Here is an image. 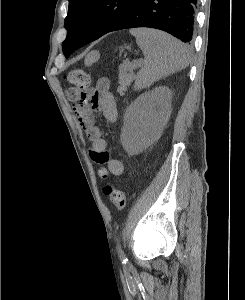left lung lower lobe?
<instances>
[{
  "instance_id": "obj_1",
  "label": "left lung lower lobe",
  "mask_w": 245,
  "mask_h": 300,
  "mask_svg": "<svg viewBox=\"0 0 245 300\" xmlns=\"http://www.w3.org/2000/svg\"><path fill=\"white\" fill-rule=\"evenodd\" d=\"M196 7L197 0H136L106 33L127 28L149 27L166 31L191 44ZM100 37H93L86 44Z\"/></svg>"
}]
</instances>
